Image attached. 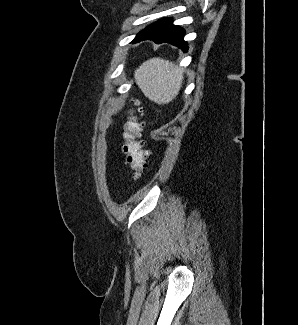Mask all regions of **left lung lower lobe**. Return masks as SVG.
I'll return each mask as SVG.
<instances>
[{
    "instance_id": "left-lung-lower-lobe-1",
    "label": "left lung lower lobe",
    "mask_w": 298,
    "mask_h": 325,
    "mask_svg": "<svg viewBox=\"0 0 298 325\" xmlns=\"http://www.w3.org/2000/svg\"><path fill=\"white\" fill-rule=\"evenodd\" d=\"M171 21V18L160 19L139 32L133 42L136 43L148 39L158 44L168 42L186 52L188 46L183 40L185 31L181 27L173 25Z\"/></svg>"
}]
</instances>
